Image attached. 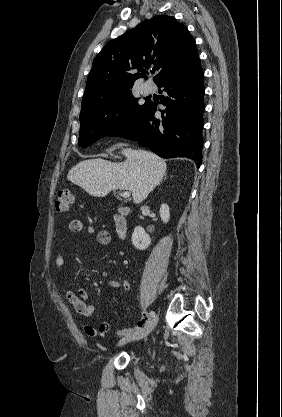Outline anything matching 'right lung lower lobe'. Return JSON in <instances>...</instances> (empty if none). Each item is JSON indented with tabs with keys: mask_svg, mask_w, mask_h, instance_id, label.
<instances>
[{
	"mask_svg": "<svg viewBox=\"0 0 282 417\" xmlns=\"http://www.w3.org/2000/svg\"><path fill=\"white\" fill-rule=\"evenodd\" d=\"M204 73L200 59L163 78L162 120L156 119V105L148 103L130 130L117 137L136 140L162 158L188 157L197 167L202 162Z\"/></svg>",
	"mask_w": 282,
	"mask_h": 417,
	"instance_id": "98d812e1",
	"label": "right lung lower lobe"
}]
</instances>
